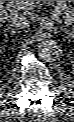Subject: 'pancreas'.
<instances>
[{
    "label": "pancreas",
    "instance_id": "cf45deb5",
    "mask_svg": "<svg viewBox=\"0 0 74 122\" xmlns=\"http://www.w3.org/2000/svg\"><path fill=\"white\" fill-rule=\"evenodd\" d=\"M46 4L53 6L60 14L63 15L65 21L70 24L74 19V8L67 1H45ZM41 4V1H28L26 5L29 9H34Z\"/></svg>",
    "mask_w": 74,
    "mask_h": 122
}]
</instances>
